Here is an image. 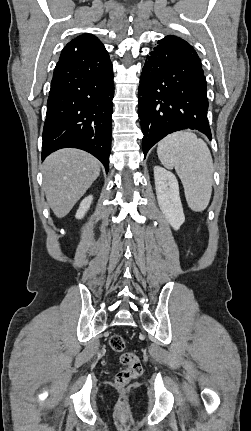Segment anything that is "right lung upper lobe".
<instances>
[{
    "instance_id": "1",
    "label": "right lung upper lobe",
    "mask_w": 251,
    "mask_h": 431,
    "mask_svg": "<svg viewBox=\"0 0 251 431\" xmlns=\"http://www.w3.org/2000/svg\"><path fill=\"white\" fill-rule=\"evenodd\" d=\"M102 47L103 44L93 35H80L74 40L70 41L66 47L62 50L64 51H75L87 47Z\"/></svg>"
}]
</instances>
